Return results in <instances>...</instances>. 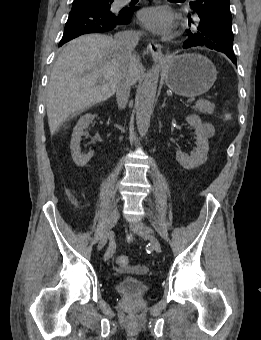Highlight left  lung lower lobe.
I'll return each mask as SVG.
<instances>
[{
  "instance_id": "0a47b994",
  "label": "left lung lower lobe",
  "mask_w": 261,
  "mask_h": 340,
  "mask_svg": "<svg viewBox=\"0 0 261 340\" xmlns=\"http://www.w3.org/2000/svg\"><path fill=\"white\" fill-rule=\"evenodd\" d=\"M205 6H206V8L204 7V9L201 11V13L199 15L202 19H204L206 21H208V19L211 18L210 13H214L216 11H221L225 14L231 15L230 9L227 8V7L213 5V4H205ZM190 21H191V18H190ZM192 46H196L193 39H189V40L185 41L184 44H183V48H189V47H192ZM220 52L225 53L232 60V62L236 64V57H235V54H234L233 51H228V50L222 49Z\"/></svg>"
}]
</instances>
